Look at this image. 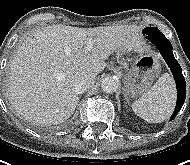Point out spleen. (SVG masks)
Returning a JSON list of instances; mask_svg holds the SVG:
<instances>
[{
	"mask_svg": "<svg viewBox=\"0 0 190 165\" xmlns=\"http://www.w3.org/2000/svg\"><path fill=\"white\" fill-rule=\"evenodd\" d=\"M176 97L174 80L168 73H164L148 92L132 103V109L147 122L160 123L172 113Z\"/></svg>",
	"mask_w": 190,
	"mask_h": 165,
	"instance_id": "1",
	"label": "spleen"
}]
</instances>
